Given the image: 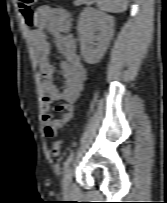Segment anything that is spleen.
Returning <instances> with one entry per match:
<instances>
[{
	"instance_id": "3e777b00",
	"label": "spleen",
	"mask_w": 167,
	"mask_h": 203,
	"mask_svg": "<svg viewBox=\"0 0 167 203\" xmlns=\"http://www.w3.org/2000/svg\"><path fill=\"white\" fill-rule=\"evenodd\" d=\"M96 3L102 11L121 13L127 9L128 0H96Z\"/></svg>"
}]
</instances>
